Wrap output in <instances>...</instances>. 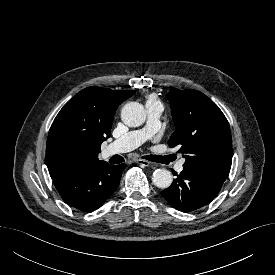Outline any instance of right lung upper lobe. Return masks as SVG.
Masks as SVG:
<instances>
[{
  "label": "right lung upper lobe",
  "instance_id": "obj_1",
  "mask_svg": "<svg viewBox=\"0 0 275 275\" xmlns=\"http://www.w3.org/2000/svg\"><path fill=\"white\" fill-rule=\"evenodd\" d=\"M135 91L88 87L60 110L49 130L46 164L51 178L98 165L117 107Z\"/></svg>",
  "mask_w": 275,
  "mask_h": 275
}]
</instances>
